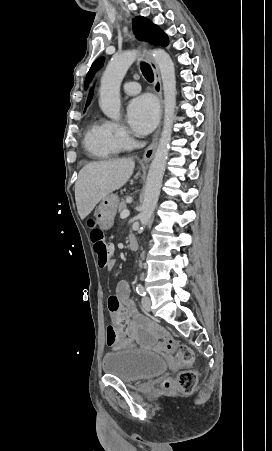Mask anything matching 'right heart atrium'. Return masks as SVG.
Returning <instances> with one entry per match:
<instances>
[{"instance_id":"obj_1","label":"right heart atrium","mask_w":272,"mask_h":451,"mask_svg":"<svg viewBox=\"0 0 272 451\" xmlns=\"http://www.w3.org/2000/svg\"><path fill=\"white\" fill-rule=\"evenodd\" d=\"M108 129L110 130L112 136L115 141L119 145H124L128 140V134L126 129L119 123L116 122H108L106 123Z\"/></svg>"}]
</instances>
